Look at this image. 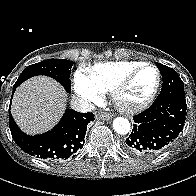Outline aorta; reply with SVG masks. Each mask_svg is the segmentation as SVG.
<instances>
[{"label": "aorta", "mask_w": 196, "mask_h": 196, "mask_svg": "<svg viewBox=\"0 0 196 196\" xmlns=\"http://www.w3.org/2000/svg\"><path fill=\"white\" fill-rule=\"evenodd\" d=\"M131 124L128 119L124 117H117L113 120V129L121 135L129 133Z\"/></svg>", "instance_id": "762f6f07"}]
</instances>
